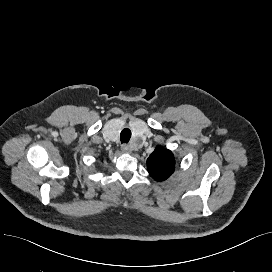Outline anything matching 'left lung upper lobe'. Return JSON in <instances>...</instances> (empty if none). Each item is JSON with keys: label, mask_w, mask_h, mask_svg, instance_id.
<instances>
[{"label": "left lung upper lobe", "mask_w": 272, "mask_h": 272, "mask_svg": "<svg viewBox=\"0 0 272 272\" xmlns=\"http://www.w3.org/2000/svg\"><path fill=\"white\" fill-rule=\"evenodd\" d=\"M148 172L157 181L166 180L175 169V158L170 150L157 146L147 159Z\"/></svg>", "instance_id": "1"}]
</instances>
